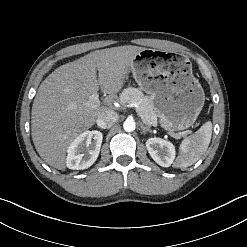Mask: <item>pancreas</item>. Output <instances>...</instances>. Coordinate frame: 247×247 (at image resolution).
<instances>
[{
    "instance_id": "1",
    "label": "pancreas",
    "mask_w": 247,
    "mask_h": 247,
    "mask_svg": "<svg viewBox=\"0 0 247 247\" xmlns=\"http://www.w3.org/2000/svg\"><path fill=\"white\" fill-rule=\"evenodd\" d=\"M120 103L124 106L136 103L138 104L139 112L143 116L145 123L149 122L153 125L157 124V115L153 109V105L148 96H145L142 91L137 88H126L120 94Z\"/></svg>"
}]
</instances>
